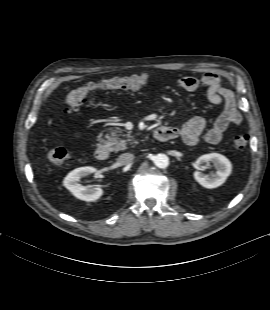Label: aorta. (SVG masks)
<instances>
[{
    "mask_svg": "<svg viewBox=\"0 0 270 310\" xmlns=\"http://www.w3.org/2000/svg\"><path fill=\"white\" fill-rule=\"evenodd\" d=\"M154 163L159 168H166L169 165V158L165 154H158L154 159Z\"/></svg>",
    "mask_w": 270,
    "mask_h": 310,
    "instance_id": "1",
    "label": "aorta"
}]
</instances>
